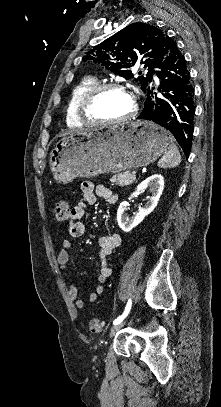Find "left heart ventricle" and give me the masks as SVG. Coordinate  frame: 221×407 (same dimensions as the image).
Segmentation results:
<instances>
[{"instance_id":"b2bd125f","label":"left heart ventricle","mask_w":221,"mask_h":407,"mask_svg":"<svg viewBox=\"0 0 221 407\" xmlns=\"http://www.w3.org/2000/svg\"><path fill=\"white\" fill-rule=\"evenodd\" d=\"M133 107L131 95L124 90H110L103 93L93 105V113L103 119H117L128 114Z\"/></svg>"}]
</instances>
